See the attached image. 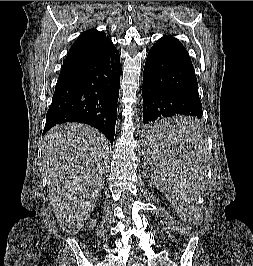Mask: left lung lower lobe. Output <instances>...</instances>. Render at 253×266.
Wrapping results in <instances>:
<instances>
[{
  "instance_id": "obj_1",
  "label": "left lung lower lobe",
  "mask_w": 253,
  "mask_h": 266,
  "mask_svg": "<svg viewBox=\"0 0 253 266\" xmlns=\"http://www.w3.org/2000/svg\"><path fill=\"white\" fill-rule=\"evenodd\" d=\"M143 122L147 138L169 141L197 133L203 115L198 83L187 50L172 36L160 38L147 55L143 73ZM193 118L168 122L164 118Z\"/></svg>"
}]
</instances>
